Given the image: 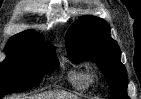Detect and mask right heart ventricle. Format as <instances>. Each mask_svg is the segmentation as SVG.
I'll return each mask as SVG.
<instances>
[{
    "label": "right heart ventricle",
    "mask_w": 141,
    "mask_h": 99,
    "mask_svg": "<svg viewBox=\"0 0 141 99\" xmlns=\"http://www.w3.org/2000/svg\"><path fill=\"white\" fill-rule=\"evenodd\" d=\"M68 81L76 89H85L91 82V75L83 69H74L68 73Z\"/></svg>",
    "instance_id": "obj_1"
}]
</instances>
